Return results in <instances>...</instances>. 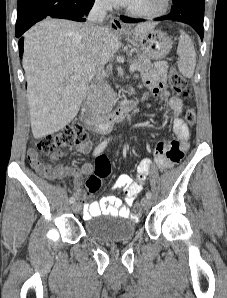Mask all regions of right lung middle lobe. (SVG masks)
I'll list each match as a JSON object with an SVG mask.
<instances>
[{"label":"right lung middle lobe","instance_id":"right-lung-middle-lobe-1","mask_svg":"<svg viewBox=\"0 0 227 298\" xmlns=\"http://www.w3.org/2000/svg\"><path fill=\"white\" fill-rule=\"evenodd\" d=\"M21 1H23V0H18V3L21 2Z\"/></svg>","mask_w":227,"mask_h":298}]
</instances>
